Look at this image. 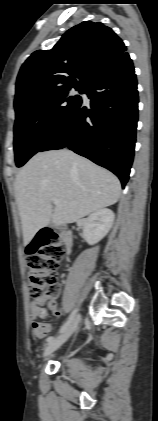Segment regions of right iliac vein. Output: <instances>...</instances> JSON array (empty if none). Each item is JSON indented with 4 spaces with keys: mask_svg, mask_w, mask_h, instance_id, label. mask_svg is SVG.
<instances>
[{
    "mask_svg": "<svg viewBox=\"0 0 158 421\" xmlns=\"http://www.w3.org/2000/svg\"><path fill=\"white\" fill-rule=\"evenodd\" d=\"M80 322V315H76L71 323L68 325L67 329L62 332L59 336H57L55 339L50 341L43 352V357H46L50 354H52L54 351H56L60 346H62L69 337L74 333L76 328L78 327V324Z\"/></svg>",
    "mask_w": 158,
    "mask_h": 421,
    "instance_id": "right-iliac-vein-1",
    "label": "right iliac vein"
}]
</instances>
